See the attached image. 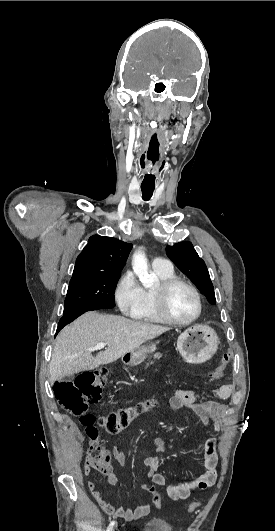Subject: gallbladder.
I'll return each mask as SVG.
<instances>
[{"label": "gallbladder", "instance_id": "bac80fb5", "mask_svg": "<svg viewBox=\"0 0 275 531\" xmlns=\"http://www.w3.org/2000/svg\"><path fill=\"white\" fill-rule=\"evenodd\" d=\"M61 381H74V375H69V377H63Z\"/></svg>", "mask_w": 275, "mask_h": 531}]
</instances>
